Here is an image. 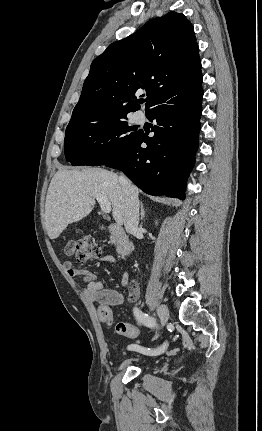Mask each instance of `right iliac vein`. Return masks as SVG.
Returning a JSON list of instances; mask_svg holds the SVG:
<instances>
[{"label": "right iliac vein", "mask_w": 262, "mask_h": 431, "mask_svg": "<svg viewBox=\"0 0 262 431\" xmlns=\"http://www.w3.org/2000/svg\"><path fill=\"white\" fill-rule=\"evenodd\" d=\"M157 313L160 318L161 326L163 327L169 319V310L166 306L160 305L157 309Z\"/></svg>", "instance_id": "1"}]
</instances>
